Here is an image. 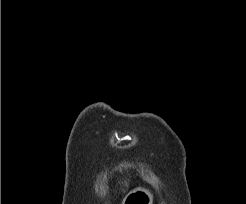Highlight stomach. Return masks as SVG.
Here are the masks:
<instances>
[{"mask_svg": "<svg viewBox=\"0 0 246 204\" xmlns=\"http://www.w3.org/2000/svg\"><path fill=\"white\" fill-rule=\"evenodd\" d=\"M153 195L143 187H138L128 193L122 201V204H152Z\"/></svg>", "mask_w": 246, "mask_h": 204, "instance_id": "1", "label": "stomach"}]
</instances>
